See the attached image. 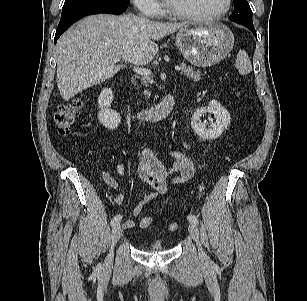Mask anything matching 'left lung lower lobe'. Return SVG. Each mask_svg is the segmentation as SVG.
<instances>
[{
  "label": "left lung lower lobe",
  "instance_id": "1",
  "mask_svg": "<svg viewBox=\"0 0 307 301\" xmlns=\"http://www.w3.org/2000/svg\"><path fill=\"white\" fill-rule=\"evenodd\" d=\"M242 25H244V26H246L247 28H249L251 31H252V33L256 36V38H257V34H256V31H255V28H254V26L253 25H245V24H242Z\"/></svg>",
  "mask_w": 307,
  "mask_h": 301
}]
</instances>
